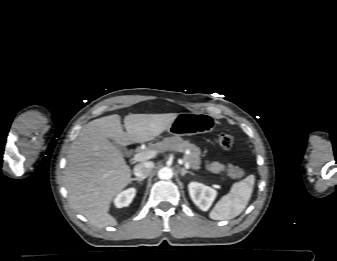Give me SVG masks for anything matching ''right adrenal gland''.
Segmentation results:
<instances>
[{
  "label": "right adrenal gland",
  "mask_w": 337,
  "mask_h": 261,
  "mask_svg": "<svg viewBox=\"0 0 337 261\" xmlns=\"http://www.w3.org/2000/svg\"><path fill=\"white\" fill-rule=\"evenodd\" d=\"M143 180H144L143 178H132V179L130 180V183H131L132 181H138L139 183H141Z\"/></svg>",
  "instance_id": "1"
}]
</instances>
